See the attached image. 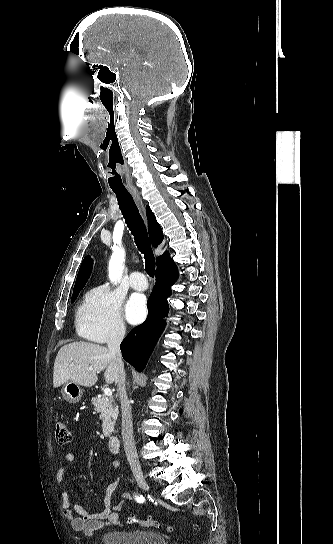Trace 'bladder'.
I'll return each mask as SVG.
<instances>
[{
    "mask_svg": "<svg viewBox=\"0 0 333 544\" xmlns=\"http://www.w3.org/2000/svg\"><path fill=\"white\" fill-rule=\"evenodd\" d=\"M101 544H168L157 532L139 529H117L105 532Z\"/></svg>",
    "mask_w": 333,
    "mask_h": 544,
    "instance_id": "obj_1",
    "label": "bladder"
}]
</instances>
